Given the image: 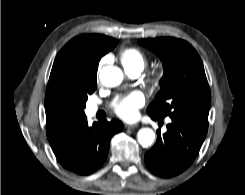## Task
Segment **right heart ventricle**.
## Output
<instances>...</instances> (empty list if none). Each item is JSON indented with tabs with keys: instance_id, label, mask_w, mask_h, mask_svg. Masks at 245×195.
<instances>
[{
	"instance_id": "right-heart-ventricle-1",
	"label": "right heart ventricle",
	"mask_w": 245,
	"mask_h": 195,
	"mask_svg": "<svg viewBox=\"0 0 245 195\" xmlns=\"http://www.w3.org/2000/svg\"><path fill=\"white\" fill-rule=\"evenodd\" d=\"M120 60L125 71H142L147 64L145 55L137 48H127L122 50L120 52Z\"/></svg>"
}]
</instances>
